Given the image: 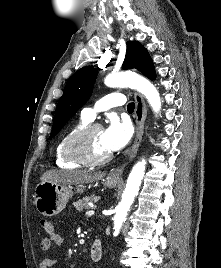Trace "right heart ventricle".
Here are the masks:
<instances>
[{
    "label": "right heart ventricle",
    "mask_w": 221,
    "mask_h": 268,
    "mask_svg": "<svg viewBox=\"0 0 221 268\" xmlns=\"http://www.w3.org/2000/svg\"><path fill=\"white\" fill-rule=\"evenodd\" d=\"M90 121H88L87 119L81 117V119L71 128H69L58 140L56 147H55V162L57 164V166L61 167V168H66V169H76V168H80L83 167L85 165L82 164H78L75 163L71 160H69L65 153H64V145L66 140L79 128L89 124Z\"/></svg>",
    "instance_id": "e07e8e85"
}]
</instances>
